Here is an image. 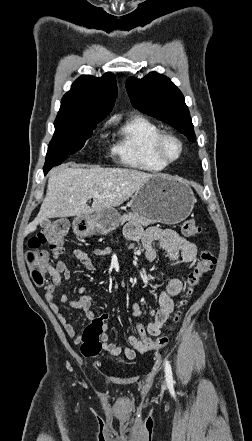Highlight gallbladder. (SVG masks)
<instances>
[{
  "label": "gallbladder",
  "instance_id": "gallbladder-1",
  "mask_svg": "<svg viewBox=\"0 0 252 441\" xmlns=\"http://www.w3.org/2000/svg\"><path fill=\"white\" fill-rule=\"evenodd\" d=\"M51 224H52V222L50 220H45L42 223H40V226L43 229H47V228H49L51 226Z\"/></svg>",
  "mask_w": 252,
  "mask_h": 441
}]
</instances>
